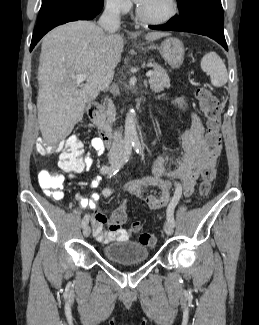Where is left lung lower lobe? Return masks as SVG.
Returning <instances> with one entry per match:
<instances>
[{
    "label": "left lung lower lobe",
    "instance_id": "1",
    "mask_svg": "<svg viewBox=\"0 0 259 325\" xmlns=\"http://www.w3.org/2000/svg\"><path fill=\"white\" fill-rule=\"evenodd\" d=\"M223 23L221 0H188L180 9L179 16L173 17L164 25L149 27L156 30L183 31L208 36L228 50Z\"/></svg>",
    "mask_w": 259,
    "mask_h": 325
}]
</instances>
